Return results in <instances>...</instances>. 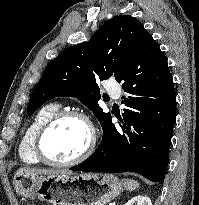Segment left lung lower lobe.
<instances>
[{
	"instance_id": "0a47b994",
	"label": "left lung lower lobe",
	"mask_w": 199,
	"mask_h": 205,
	"mask_svg": "<svg viewBox=\"0 0 199 205\" xmlns=\"http://www.w3.org/2000/svg\"><path fill=\"white\" fill-rule=\"evenodd\" d=\"M128 95L120 127L112 119L91 157L70 168L85 172H135L164 181L176 120V94L167 59L144 30L119 79Z\"/></svg>"
}]
</instances>
